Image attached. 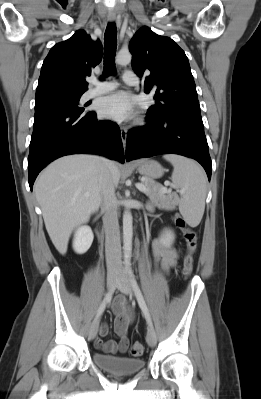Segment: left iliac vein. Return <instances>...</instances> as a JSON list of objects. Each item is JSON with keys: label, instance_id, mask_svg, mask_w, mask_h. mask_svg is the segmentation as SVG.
Listing matches in <instances>:
<instances>
[{"label": "left iliac vein", "instance_id": "left-iliac-vein-1", "mask_svg": "<svg viewBox=\"0 0 261 399\" xmlns=\"http://www.w3.org/2000/svg\"><path fill=\"white\" fill-rule=\"evenodd\" d=\"M117 287L125 295L133 297L134 290L132 284L129 282V280L124 274L118 277ZM146 341L151 347H154L156 344V333L152 326H150L147 330Z\"/></svg>", "mask_w": 261, "mask_h": 399}]
</instances>
